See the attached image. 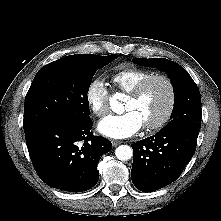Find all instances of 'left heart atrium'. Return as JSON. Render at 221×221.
I'll return each instance as SVG.
<instances>
[{
	"label": "left heart atrium",
	"mask_w": 221,
	"mask_h": 221,
	"mask_svg": "<svg viewBox=\"0 0 221 221\" xmlns=\"http://www.w3.org/2000/svg\"><path fill=\"white\" fill-rule=\"evenodd\" d=\"M139 116L133 111L108 115L98 123V131L109 138L123 139L136 134L142 128Z\"/></svg>",
	"instance_id": "1"
}]
</instances>
